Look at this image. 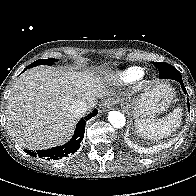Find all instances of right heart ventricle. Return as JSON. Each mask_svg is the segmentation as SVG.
Instances as JSON below:
<instances>
[{
  "label": "right heart ventricle",
  "instance_id": "obj_1",
  "mask_svg": "<svg viewBox=\"0 0 196 196\" xmlns=\"http://www.w3.org/2000/svg\"><path fill=\"white\" fill-rule=\"evenodd\" d=\"M144 70L140 67H129L123 70H116L107 74V79L118 84H130L140 80Z\"/></svg>",
  "mask_w": 196,
  "mask_h": 196
}]
</instances>
